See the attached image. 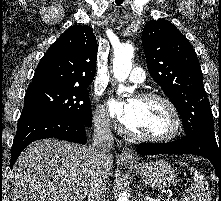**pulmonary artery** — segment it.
<instances>
[{
  "mask_svg": "<svg viewBox=\"0 0 221 201\" xmlns=\"http://www.w3.org/2000/svg\"><path fill=\"white\" fill-rule=\"evenodd\" d=\"M129 81L135 84H143L145 79H146V75L145 72L142 68L139 67H135L132 72L129 75Z\"/></svg>",
  "mask_w": 221,
  "mask_h": 201,
  "instance_id": "pulmonary-artery-1",
  "label": "pulmonary artery"
}]
</instances>
